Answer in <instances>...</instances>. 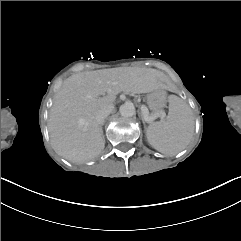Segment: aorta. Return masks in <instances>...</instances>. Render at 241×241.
<instances>
[{
    "mask_svg": "<svg viewBox=\"0 0 241 241\" xmlns=\"http://www.w3.org/2000/svg\"><path fill=\"white\" fill-rule=\"evenodd\" d=\"M119 112L122 117H132L135 114V107L132 103H124L120 106Z\"/></svg>",
    "mask_w": 241,
    "mask_h": 241,
    "instance_id": "762f6f07",
    "label": "aorta"
}]
</instances>
